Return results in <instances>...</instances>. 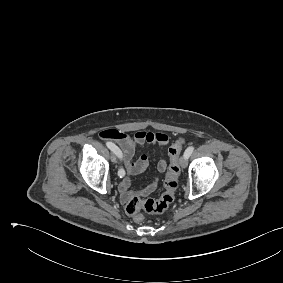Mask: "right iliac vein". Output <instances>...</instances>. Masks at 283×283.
Returning <instances> with one entry per match:
<instances>
[{
	"mask_svg": "<svg viewBox=\"0 0 283 283\" xmlns=\"http://www.w3.org/2000/svg\"><path fill=\"white\" fill-rule=\"evenodd\" d=\"M110 159H111V161H112L113 163H116V162H117V158H116V155H115L114 153H112V154L110 155Z\"/></svg>",
	"mask_w": 283,
	"mask_h": 283,
	"instance_id": "right-iliac-vein-1",
	"label": "right iliac vein"
}]
</instances>
